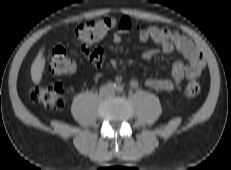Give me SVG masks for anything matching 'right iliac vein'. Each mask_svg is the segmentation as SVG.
Wrapping results in <instances>:
<instances>
[{
    "label": "right iliac vein",
    "instance_id": "1",
    "mask_svg": "<svg viewBox=\"0 0 231 170\" xmlns=\"http://www.w3.org/2000/svg\"><path fill=\"white\" fill-rule=\"evenodd\" d=\"M102 93L105 94V93H106V90H103Z\"/></svg>",
    "mask_w": 231,
    "mask_h": 170
}]
</instances>
